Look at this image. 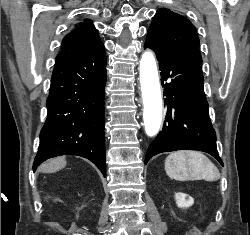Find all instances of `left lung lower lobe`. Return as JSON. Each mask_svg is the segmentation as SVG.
<instances>
[{
	"label": "left lung lower lobe",
	"mask_w": 250,
	"mask_h": 235,
	"mask_svg": "<svg viewBox=\"0 0 250 235\" xmlns=\"http://www.w3.org/2000/svg\"><path fill=\"white\" fill-rule=\"evenodd\" d=\"M144 48L156 53L167 105L163 128L148 148L145 164L162 152L198 150L209 153L223 165L209 119L199 48L159 47L149 39Z\"/></svg>",
	"instance_id": "1"
}]
</instances>
